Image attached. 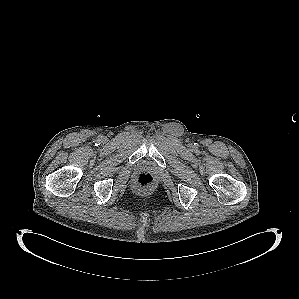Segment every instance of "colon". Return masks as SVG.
Segmentation results:
<instances>
[{
	"label": "colon",
	"instance_id": "obj_1",
	"mask_svg": "<svg viewBox=\"0 0 299 299\" xmlns=\"http://www.w3.org/2000/svg\"><path fill=\"white\" fill-rule=\"evenodd\" d=\"M154 177L149 173H140L134 180V185L139 190H148L153 187Z\"/></svg>",
	"mask_w": 299,
	"mask_h": 299
}]
</instances>
